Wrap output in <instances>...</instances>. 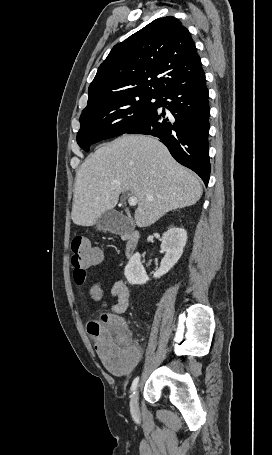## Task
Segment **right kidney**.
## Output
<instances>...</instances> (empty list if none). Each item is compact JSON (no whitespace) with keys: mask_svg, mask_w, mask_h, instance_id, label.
<instances>
[{"mask_svg":"<svg viewBox=\"0 0 272 455\" xmlns=\"http://www.w3.org/2000/svg\"><path fill=\"white\" fill-rule=\"evenodd\" d=\"M187 242V232L183 228L172 227L162 237L161 249L165 256L160 267L154 273V278H160L166 274L180 259ZM127 281L132 284H145L149 277L141 263V256L135 253L129 260L124 270Z\"/></svg>","mask_w":272,"mask_h":455,"instance_id":"obj_1","label":"right kidney"}]
</instances>
